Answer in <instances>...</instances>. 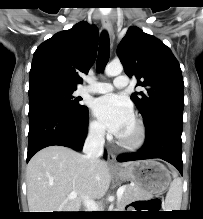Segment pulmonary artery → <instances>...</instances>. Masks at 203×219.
I'll list each match as a JSON object with an SVG mask.
<instances>
[{"label":"pulmonary artery","mask_w":203,"mask_h":219,"mask_svg":"<svg viewBox=\"0 0 203 219\" xmlns=\"http://www.w3.org/2000/svg\"><path fill=\"white\" fill-rule=\"evenodd\" d=\"M129 80L126 76H118L115 78L114 83L110 84L107 82H95L81 89L82 93H94V94H105L111 92L115 88H125L128 86Z\"/></svg>","instance_id":"1"}]
</instances>
